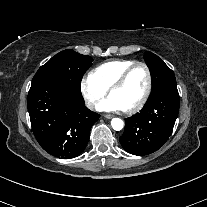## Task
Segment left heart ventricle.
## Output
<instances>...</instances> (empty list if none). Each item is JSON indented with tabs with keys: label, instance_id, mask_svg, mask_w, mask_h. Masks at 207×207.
Listing matches in <instances>:
<instances>
[{
	"label": "left heart ventricle",
	"instance_id": "b2bd125f",
	"mask_svg": "<svg viewBox=\"0 0 207 207\" xmlns=\"http://www.w3.org/2000/svg\"><path fill=\"white\" fill-rule=\"evenodd\" d=\"M147 85V75L142 67H136L128 76L122 87L110 95L121 110L137 104L142 98Z\"/></svg>",
	"mask_w": 207,
	"mask_h": 207
}]
</instances>
